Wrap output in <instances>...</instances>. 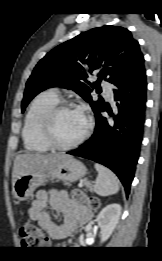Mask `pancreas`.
<instances>
[{
	"mask_svg": "<svg viewBox=\"0 0 162 261\" xmlns=\"http://www.w3.org/2000/svg\"><path fill=\"white\" fill-rule=\"evenodd\" d=\"M83 186H85L86 188H88L90 191L92 190L91 184H90V182H88L87 180L83 181Z\"/></svg>",
	"mask_w": 162,
	"mask_h": 261,
	"instance_id": "1",
	"label": "pancreas"
}]
</instances>
